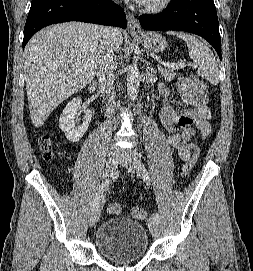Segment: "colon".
Returning <instances> with one entry per match:
<instances>
[{"instance_id": "colon-1", "label": "colon", "mask_w": 253, "mask_h": 271, "mask_svg": "<svg viewBox=\"0 0 253 271\" xmlns=\"http://www.w3.org/2000/svg\"><path fill=\"white\" fill-rule=\"evenodd\" d=\"M193 80L195 81L199 90L205 96H207V89H206L205 83L196 77H194ZM38 144L43 154V157L45 159H50L53 156V144L50 137L46 134L41 135L38 139ZM197 158H198V154L194 153L193 156L186 161L182 170L183 176L189 175V173L192 171V169L194 168L196 164ZM120 211H121V206L117 202H111L107 205V212L109 214L117 215L120 213ZM132 213H133L134 218L136 219H144L146 216L145 211L139 207L134 208Z\"/></svg>"}]
</instances>
